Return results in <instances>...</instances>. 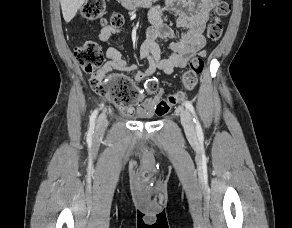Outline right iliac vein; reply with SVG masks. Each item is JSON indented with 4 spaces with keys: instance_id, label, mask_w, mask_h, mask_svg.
<instances>
[{
    "instance_id": "obj_1",
    "label": "right iliac vein",
    "mask_w": 292,
    "mask_h": 228,
    "mask_svg": "<svg viewBox=\"0 0 292 228\" xmlns=\"http://www.w3.org/2000/svg\"><path fill=\"white\" fill-rule=\"evenodd\" d=\"M107 117L105 113L100 114V116L97 119L96 122V129H95V135L101 136L105 132V129L107 127Z\"/></svg>"
}]
</instances>
